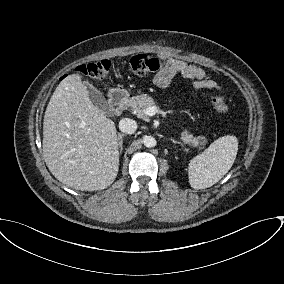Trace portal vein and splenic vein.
Here are the masks:
<instances>
[{
  "instance_id": "portal-vein-and-splenic-vein-1",
  "label": "portal vein and splenic vein",
  "mask_w": 284,
  "mask_h": 284,
  "mask_svg": "<svg viewBox=\"0 0 284 284\" xmlns=\"http://www.w3.org/2000/svg\"><path fill=\"white\" fill-rule=\"evenodd\" d=\"M157 112H158V110H157V107H156V106H151V107H148V108L146 109V114H147L148 116H153V115H155Z\"/></svg>"
}]
</instances>
